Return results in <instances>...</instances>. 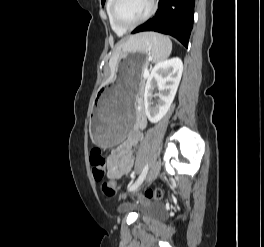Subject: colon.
<instances>
[{
	"label": "colon",
	"instance_id": "1",
	"mask_svg": "<svg viewBox=\"0 0 264 247\" xmlns=\"http://www.w3.org/2000/svg\"><path fill=\"white\" fill-rule=\"evenodd\" d=\"M90 164L95 180H103L107 171V159L100 149H94L90 153ZM102 190L106 196L114 197L119 194V190L114 182L105 181L102 184ZM149 199L159 200L163 197V193L159 189H150L145 193Z\"/></svg>",
	"mask_w": 264,
	"mask_h": 247
}]
</instances>
